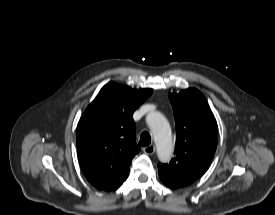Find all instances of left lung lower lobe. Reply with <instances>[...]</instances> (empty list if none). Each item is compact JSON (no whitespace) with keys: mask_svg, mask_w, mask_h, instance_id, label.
Instances as JSON below:
<instances>
[{"mask_svg":"<svg viewBox=\"0 0 275 215\" xmlns=\"http://www.w3.org/2000/svg\"><path fill=\"white\" fill-rule=\"evenodd\" d=\"M159 177H160V179L162 180V182L165 183V184H166L167 186H169V187H183V186H186V185H184V184H180V183H178V182H174V181L168 179V178L165 176L164 173L159 172Z\"/></svg>","mask_w":275,"mask_h":215,"instance_id":"0a47b994","label":"left lung lower lobe"}]
</instances>
